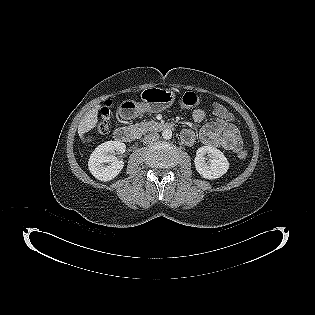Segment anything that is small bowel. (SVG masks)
<instances>
[{"label":"small bowel","instance_id":"obj_1","mask_svg":"<svg viewBox=\"0 0 315 315\" xmlns=\"http://www.w3.org/2000/svg\"><path fill=\"white\" fill-rule=\"evenodd\" d=\"M195 122H206L197 135L191 129H185L181 134L184 144L192 145L197 137L208 146L219 147L227 151L238 152L242 147L241 136L234 124V118L220 104H212L210 112L203 109H195L192 112Z\"/></svg>","mask_w":315,"mask_h":315}]
</instances>
